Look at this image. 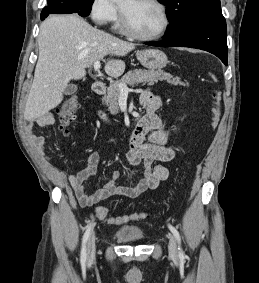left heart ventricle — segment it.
Instances as JSON below:
<instances>
[{
  "instance_id": "1",
  "label": "left heart ventricle",
  "mask_w": 259,
  "mask_h": 283,
  "mask_svg": "<svg viewBox=\"0 0 259 283\" xmlns=\"http://www.w3.org/2000/svg\"><path fill=\"white\" fill-rule=\"evenodd\" d=\"M120 7L127 14L134 30L140 34L155 35L164 26L161 10L148 0H122Z\"/></svg>"
}]
</instances>
